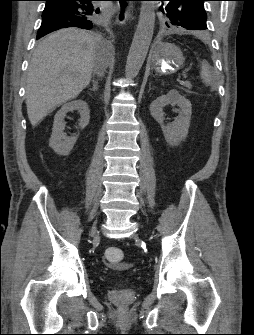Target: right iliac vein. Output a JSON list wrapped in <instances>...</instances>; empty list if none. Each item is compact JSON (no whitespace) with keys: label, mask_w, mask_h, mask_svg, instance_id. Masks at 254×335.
Instances as JSON below:
<instances>
[{"label":"right iliac vein","mask_w":254,"mask_h":335,"mask_svg":"<svg viewBox=\"0 0 254 335\" xmlns=\"http://www.w3.org/2000/svg\"><path fill=\"white\" fill-rule=\"evenodd\" d=\"M92 231H93L94 233L97 232L96 226H93Z\"/></svg>","instance_id":"1"}]
</instances>
